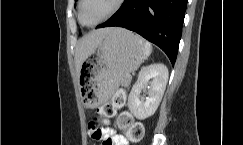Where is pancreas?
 <instances>
[{
  "instance_id": "1",
  "label": "pancreas",
  "mask_w": 243,
  "mask_h": 145,
  "mask_svg": "<svg viewBox=\"0 0 243 145\" xmlns=\"http://www.w3.org/2000/svg\"><path fill=\"white\" fill-rule=\"evenodd\" d=\"M130 81H131V77L125 74L121 79V84L125 86L128 85Z\"/></svg>"
}]
</instances>
